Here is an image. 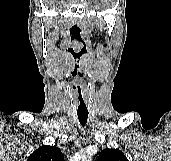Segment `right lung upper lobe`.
Returning <instances> with one entry per match:
<instances>
[{"label":"right lung upper lobe","instance_id":"1","mask_svg":"<svg viewBox=\"0 0 171 161\" xmlns=\"http://www.w3.org/2000/svg\"><path fill=\"white\" fill-rule=\"evenodd\" d=\"M27 161H64V157L58 147L46 145L34 151Z\"/></svg>","mask_w":171,"mask_h":161}]
</instances>
